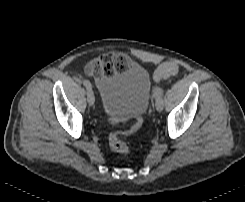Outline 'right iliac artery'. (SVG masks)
Masks as SVG:
<instances>
[{
	"mask_svg": "<svg viewBox=\"0 0 245 202\" xmlns=\"http://www.w3.org/2000/svg\"><path fill=\"white\" fill-rule=\"evenodd\" d=\"M83 84H84V86H85L87 89H91V88H92V85H91V83H90L88 80H84V81H83Z\"/></svg>",
	"mask_w": 245,
	"mask_h": 202,
	"instance_id": "obj_1",
	"label": "right iliac artery"
}]
</instances>
